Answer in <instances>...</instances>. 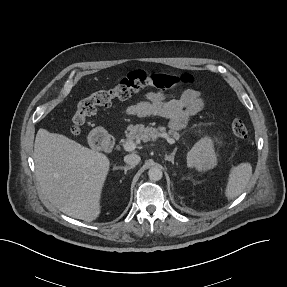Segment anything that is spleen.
I'll use <instances>...</instances> for the list:
<instances>
[{
    "instance_id": "1",
    "label": "spleen",
    "mask_w": 287,
    "mask_h": 287,
    "mask_svg": "<svg viewBox=\"0 0 287 287\" xmlns=\"http://www.w3.org/2000/svg\"><path fill=\"white\" fill-rule=\"evenodd\" d=\"M252 176V166L250 163H240L233 166L228 176L225 195L228 199L239 196L246 188Z\"/></svg>"
}]
</instances>
